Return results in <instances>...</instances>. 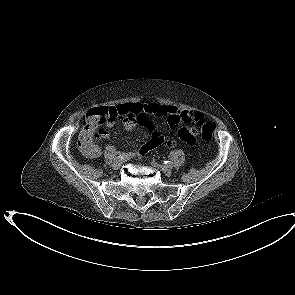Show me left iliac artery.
I'll return each mask as SVG.
<instances>
[{
  "instance_id": "left-iliac-artery-1",
  "label": "left iliac artery",
  "mask_w": 295,
  "mask_h": 295,
  "mask_svg": "<svg viewBox=\"0 0 295 295\" xmlns=\"http://www.w3.org/2000/svg\"><path fill=\"white\" fill-rule=\"evenodd\" d=\"M164 164H165L166 166H169V167L172 166V163H171L170 161H164Z\"/></svg>"
}]
</instances>
